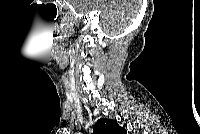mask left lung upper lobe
Returning a JSON list of instances; mask_svg holds the SVG:
<instances>
[{
	"mask_svg": "<svg viewBox=\"0 0 200 134\" xmlns=\"http://www.w3.org/2000/svg\"><path fill=\"white\" fill-rule=\"evenodd\" d=\"M126 130L120 127L115 120L102 118L94 126V134H126Z\"/></svg>",
	"mask_w": 200,
	"mask_h": 134,
	"instance_id": "5c2ea615",
	"label": "left lung upper lobe"
}]
</instances>
